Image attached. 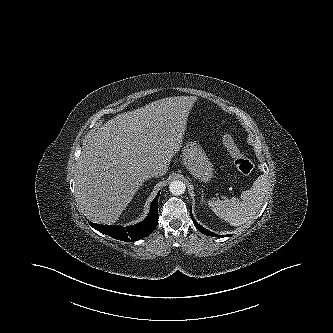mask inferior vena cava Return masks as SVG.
Here are the masks:
<instances>
[{
    "mask_svg": "<svg viewBox=\"0 0 333 333\" xmlns=\"http://www.w3.org/2000/svg\"><path fill=\"white\" fill-rule=\"evenodd\" d=\"M161 172L157 168H153L148 172V178L154 176H160Z\"/></svg>",
    "mask_w": 333,
    "mask_h": 333,
    "instance_id": "602c4592",
    "label": "inferior vena cava"
}]
</instances>
